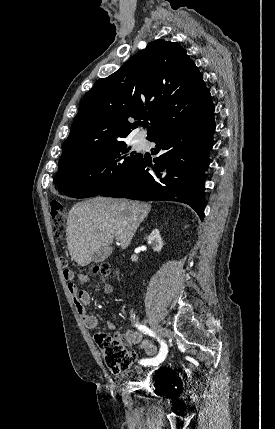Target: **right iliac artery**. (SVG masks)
<instances>
[{"instance_id":"obj_1","label":"right iliac artery","mask_w":275,"mask_h":429,"mask_svg":"<svg viewBox=\"0 0 275 429\" xmlns=\"http://www.w3.org/2000/svg\"><path fill=\"white\" fill-rule=\"evenodd\" d=\"M136 327L139 330L145 332L146 334L157 338L155 333L152 330H150L149 328H147L146 326L136 324ZM158 341H160L159 338H158ZM166 355H167V346H166L165 342L163 340H161L160 341L159 354L156 357L151 358V359H142V360H140L139 363L144 365V366H150V365L155 366V365H158L159 363H161L165 359Z\"/></svg>"}]
</instances>
